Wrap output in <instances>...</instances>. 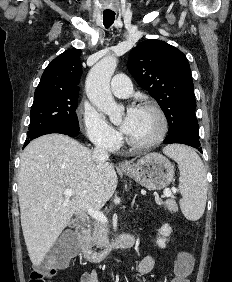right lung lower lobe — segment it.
Segmentation results:
<instances>
[{
	"label": "right lung lower lobe",
	"instance_id": "98d812e1",
	"mask_svg": "<svg viewBox=\"0 0 232 282\" xmlns=\"http://www.w3.org/2000/svg\"><path fill=\"white\" fill-rule=\"evenodd\" d=\"M50 133H61L69 136H77L79 134L78 130L72 129L70 127L66 126H55L50 129L44 130L41 133L34 134L31 137H28V140L25 142L24 147L30 142V140L35 139L39 136L45 135V134H50ZM23 147V148H24Z\"/></svg>",
	"mask_w": 232,
	"mask_h": 282
}]
</instances>
